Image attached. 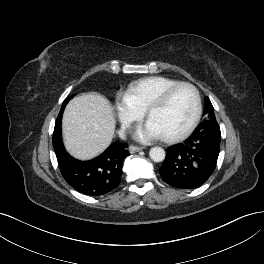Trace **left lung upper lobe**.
Returning a JSON list of instances; mask_svg holds the SVG:
<instances>
[{
	"label": "left lung upper lobe",
	"mask_w": 264,
	"mask_h": 264,
	"mask_svg": "<svg viewBox=\"0 0 264 264\" xmlns=\"http://www.w3.org/2000/svg\"><path fill=\"white\" fill-rule=\"evenodd\" d=\"M205 109L204 114H206L207 118L205 120H215L214 108L208 97L205 99Z\"/></svg>",
	"instance_id": "left-lung-upper-lobe-1"
}]
</instances>
